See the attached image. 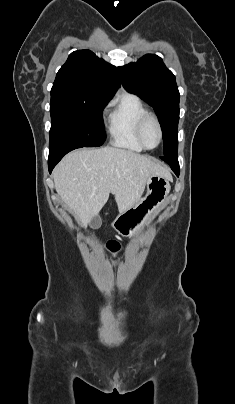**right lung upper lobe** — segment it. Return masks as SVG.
<instances>
[{
  "label": "right lung upper lobe",
  "instance_id": "cb5924a9",
  "mask_svg": "<svg viewBox=\"0 0 235 404\" xmlns=\"http://www.w3.org/2000/svg\"><path fill=\"white\" fill-rule=\"evenodd\" d=\"M119 86L116 67L90 50H79L72 52L60 68L51 91L108 101Z\"/></svg>",
  "mask_w": 235,
  "mask_h": 404
}]
</instances>
